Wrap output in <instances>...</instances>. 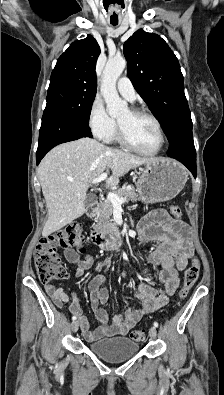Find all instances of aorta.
Segmentation results:
<instances>
[{
    "instance_id": "1",
    "label": "aorta",
    "mask_w": 224,
    "mask_h": 395,
    "mask_svg": "<svg viewBox=\"0 0 224 395\" xmlns=\"http://www.w3.org/2000/svg\"><path fill=\"white\" fill-rule=\"evenodd\" d=\"M123 57H115L108 60L102 75L101 94L105 100L108 114L118 117L127 112V102L122 100L116 90V82L126 67Z\"/></svg>"
}]
</instances>
